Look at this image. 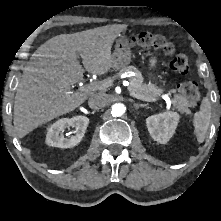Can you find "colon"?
I'll return each mask as SVG.
<instances>
[{"instance_id": "obj_1", "label": "colon", "mask_w": 221, "mask_h": 221, "mask_svg": "<svg viewBox=\"0 0 221 221\" xmlns=\"http://www.w3.org/2000/svg\"><path fill=\"white\" fill-rule=\"evenodd\" d=\"M132 44L140 49H157L166 54L172 55L175 52L174 44L165 35L159 32H141L131 40ZM170 69L178 74H186L189 70L187 57L176 55L170 62ZM180 94L192 103L200 99V91L196 83L186 81L177 86Z\"/></svg>"}]
</instances>
